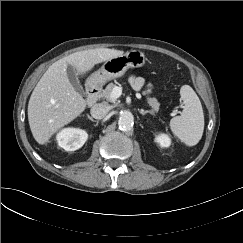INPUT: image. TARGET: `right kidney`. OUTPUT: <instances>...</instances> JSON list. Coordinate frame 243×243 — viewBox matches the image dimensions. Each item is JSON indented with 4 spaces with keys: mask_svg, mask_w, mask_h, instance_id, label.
<instances>
[{
    "mask_svg": "<svg viewBox=\"0 0 243 243\" xmlns=\"http://www.w3.org/2000/svg\"><path fill=\"white\" fill-rule=\"evenodd\" d=\"M87 138V132L79 128H64L56 135L58 145L66 151H75L81 148Z\"/></svg>",
    "mask_w": 243,
    "mask_h": 243,
    "instance_id": "right-kidney-1",
    "label": "right kidney"
}]
</instances>
